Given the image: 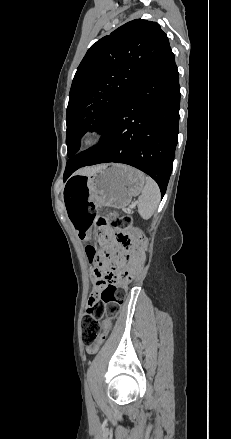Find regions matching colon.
I'll return each mask as SVG.
<instances>
[{
  "label": "colon",
  "mask_w": 231,
  "mask_h": 439,
  "mask_svg": "<svg viewBox=\"0 0 231 439\" xmlns=\"http://www.w3.org/2000/svg\"><path fill=\"white\" fill-rule=\"evenodd\" d=\"M89 193L87 182L82 179L71 180L64 189L65 200L70 207V217L76 229L84 234L91 228L113 226L115 242L125 250L123 260H110L109 271L101 278L109 285L100 294L99 300L91 303L82 318V342L94 351V345L105 339L112 321L120 312L128 285L133 281L143 263V251L147 242L138 231H131V219L115 212L99 216L95 207L84 197ZM99 239H107L106 234H99ZM90 261L96 259L95 249L88 251ZM121 265V273L114 271Z\"/></svg>",
  "instance_id": "1"
}]
</instances>
